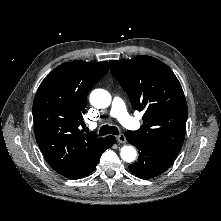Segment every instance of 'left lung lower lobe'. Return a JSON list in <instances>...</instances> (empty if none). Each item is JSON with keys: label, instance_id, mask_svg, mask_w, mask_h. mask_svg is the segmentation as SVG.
Wrapping results in <instances>:
<instances>
[{"label": "left lung lower lobe", "instance_id": "1", "mask_svg": "<svg viewBox=\"0 0 221 221\" xmlns=\"http://www.w3.org/2000/svg\"><path fill=\"white\" fill-rule=\"evenodd\" d=\"M124 135L128 142L139 150L138 161L131 164L129 169L142 179H150L162 174L171 166L177 156L178 152L151 145L130 131H126Z\"/></svg>", "mask_w": 221, "mask_h": 221}]
</instances>
